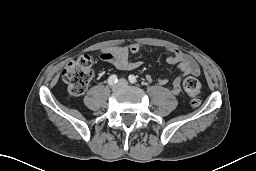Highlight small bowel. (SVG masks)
I'll list each match as a JSON object with an SVG mask.
<instances>
[{
	"instance_id": "c3829d8e",
	"label": "small bowel",
	"mask_w": 256,
	"mask_h": 171,
	"mask_svg": "<svg viewBox=\"0 0 256 171\" xmlns=\"http://www.w3.org/2000/svg\"><path fill=\"white\" fill-rule=\"evenodd\" d=\"M145 46L141 43H133L126 46L109 47L106 48L102 54L105 61L111 63L118 70L131 71L140 66V61H133L129 59L130 53H138L143 50ZM170 55L166 58V62L176 67L180 73L173 81L171 93L178 95L182 90V82L185 76L194 75L199 76L201 71L195 60L188 54L181 50L168 48ZM156 81L160 85H166L168 79L163 75L156 77Z\"/></svg>"
}]
</instances>
